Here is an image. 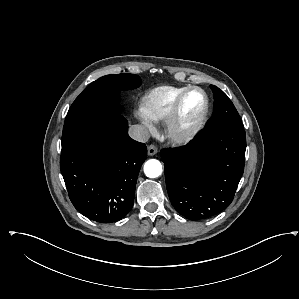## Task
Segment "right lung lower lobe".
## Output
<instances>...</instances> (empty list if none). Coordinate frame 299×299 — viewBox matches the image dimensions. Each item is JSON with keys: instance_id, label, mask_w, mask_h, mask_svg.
Masks as SVG:
<instances>
[{"instance_id": "right-lung-lower-lobe-1", "label": "right lung lower lobe", "mask_w": 299, "mask_h": 299, "mask_svg": "<svg viewBox=\"0 0 299 299\" xmlns=\"http://www.w3.org/2000/svg\"><path fill=\"white\" fill-rule=\"evenodd\" d=\"M146 158V145L128 136L121 114L90 126L61 151L60 169L74 207L100 223L122 218L133 206Z\"/></svg>"}]
</instances>
